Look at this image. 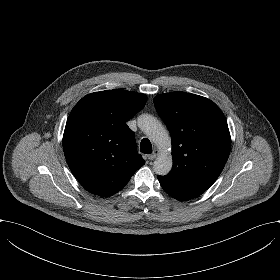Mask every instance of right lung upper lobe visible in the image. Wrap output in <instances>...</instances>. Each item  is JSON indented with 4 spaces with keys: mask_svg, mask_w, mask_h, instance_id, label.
Instances as JSON below:
<instances>
[{
    "mask_svg": "<svg viewBox=\"0 0 280 280\" xmlns=\"http://www.w3.org/2000/svg\"><path fill=\"white\" fill-rule=\"evenodd\" d=\"M146 101L145 94L114 89L88 94L72 109L63 149L70 170L88 192L114 195L145 164L126 122Z\"/></svg>",
    "mask_w": 280,
    "mask_h": 280,
    "instance_id": "obj_1",
    "label": "right lung upper lobe"
}]
</instances>
